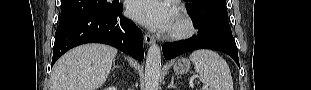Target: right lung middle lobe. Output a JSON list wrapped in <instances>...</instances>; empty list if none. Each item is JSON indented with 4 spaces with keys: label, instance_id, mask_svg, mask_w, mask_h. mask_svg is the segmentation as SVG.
<instances>
[{
    "label": "right lung middle lobe",
    "instance_id": "dd1d6c3e",
    "mask_svg": "<svg viewBox=\"0 0 311 90\" xmlns=\"http://www.w3.org/2000/svg\"><path fill=\"white\" fill-rule=\"evenodd\" d=\"M117 6L114 2L109 3L106 0H61L60 22L85 13L111 12Z\"/></svg>",
    "mask_w": 311,
    "mask_h": 90
}]
</instances>
